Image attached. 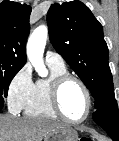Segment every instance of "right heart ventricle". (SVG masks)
Returning <instances> with one entry per match:
<instances>
[{
    "mask_svg": "<svg viewBox=\"0 0 119 141\" xmlns=\"http://www.w3.org/2000/svg\"><path fill=\"white\" fill-rule=\"evenodd\" d=\"M50 69V75L47 78L38 79L34 85L29 100L24 108L27 117L56 119L49 97V88L52 80L60 75L67 74V68L64 65L47 63Z\"/></svg>",
    "mask_w": 119,
    "mask_h": 141,
    "instance_id": "1",
    "label": "right heart ventricle"
}]
</instances>
